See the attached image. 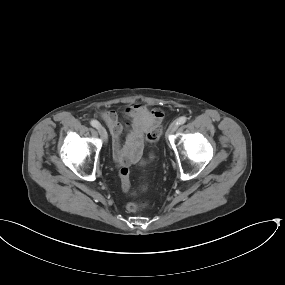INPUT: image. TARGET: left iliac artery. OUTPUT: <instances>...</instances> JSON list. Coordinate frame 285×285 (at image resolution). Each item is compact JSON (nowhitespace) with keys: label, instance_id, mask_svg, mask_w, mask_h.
Wrapping results in <instances>:
<instances>
[{"label":"left iliac artery","instance_id":"1","mask_svg":"<svg viewBox=\"0 0 285 285\" xmlns=\"http://www.w3.org/2000/svg\"><path fill=\"white\" fill-rule=\"evenodd\" d=\"M187 121V118L185 116H181L180 118L177 119V124L182 125Z\"/></svg>","mask_w":285,"mask_h":285}]
</instances>
